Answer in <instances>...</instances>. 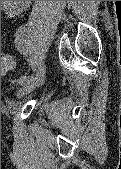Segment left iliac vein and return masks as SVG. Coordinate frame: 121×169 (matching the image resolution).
I'll return each mask as SVG.
<instances>
[{"label":"left iliac vein","instance_id":"left-iliac-vein-1","mask_svg":"<svg viewBox=\"0 0 121 169\" xmlns=\"http://www.w3.org/2000/svg\"><path fill=\"white\" fill-rule=\"evenodd\" d=\"M44 81H45L44 74L37 76L36 78L32 79L29 83L23 85L18 91L17 96L22 97L28 94L29 92L33 91L35 88L44 84Z\"/></svg>","mask_w":121,"mask_h":169}]
</instances>
